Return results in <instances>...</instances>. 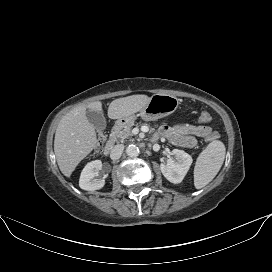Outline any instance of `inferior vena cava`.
Here are the masks:
<instances>
[{
    "mask_svg": "<svg viewBox=\"0 0 272 272\" xmlns=\"http://www.w3.org/2000/svg\"><path fill=\"white\" fill-rule=\"evenodd\" d=\"M124 150V145L123 144H117L114 146V148L111 150L110 153V158L112 160H117L121 157L122 153Z\"/></svg>",
    "mask_w": 272,
    "mask_h": 272,
    "instance_id": "obj_1",
    "label": "inferior vena cava"
}]
</instances>
